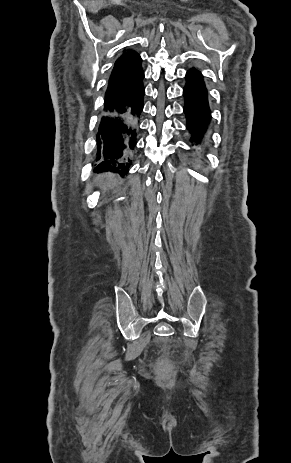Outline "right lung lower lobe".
I'll return each instance as SVG.
<instances>
[{
    "mask_svg": "<svg viewBox=\"0 0 291 463\" xmlns=\"http://www.w3.org/2000/svg\"><path fill=\"white\" fill-rule=\"evenodd\" d=\"M143 78L144 72L122 99L104 110L96 134L95 171L128 173L143 110Z\"/></svg>",
    "mask_w": 291,
    "mask_h": 463,
    "instance_id": "1",
    "label": "right lung lower lobe"
}]
</instances>
